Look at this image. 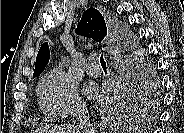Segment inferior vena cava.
Here are the masks:
<instances>
[{
  "label": "inferior vena cava",
  "mask_w": 184,
  "mask_h": 133,
  "mask_svg": "<svg viewBox=\"0 0 184 133\" xmlns=\"http://www.w3.org/2000/svg\"><path fill=\"white\" fill-rule=\"evenodd\" d=\"M76 118L78 121L77 128L78 132L83 133H95L93 127L88 122L89 114L85 108H80L76 111Z\"/></svg>",
  "instance_id": "obj_1"
}]
</instances>
